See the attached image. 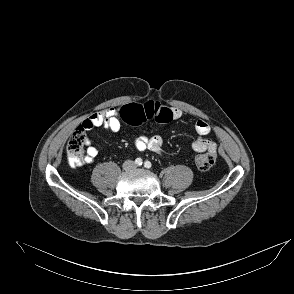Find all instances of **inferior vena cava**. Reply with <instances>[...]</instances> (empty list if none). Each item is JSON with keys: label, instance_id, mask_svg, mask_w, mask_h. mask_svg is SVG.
Wrapping results in <instances>:
<instances>
[{"label": "inferior vena cava", "instance_id": "inferior-vena-cava-1", "mask_svg": "<svg viewBox=\"0 0 294 294\" xmlns=\"http://www.w3.org/2000/svg\"><path fill=\"white\" fill-rule=\"evenodd\" d=\"M134 166V162L133 161H131V160H128V161H125L124 163H123V168L126 170V169H129V168H131V167H133Z\"/></svg>", "mask_w": 294, "mask_h": 294}]
</instances>
